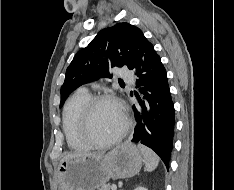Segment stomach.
<instances>
[{"label": "stomach", "mask_w": 234, "mask_h": 190, "mask_svg": "<svg viewBox=\"0 0 234 190\" xmlns=\"http://www.w3.org/2000/svg\"><path fill=\"white\" fill-rule=\"evenodd\" d=\"M143 161L139 148L130 142L106 154L64 159L58 166L59 190H98L110 179L136 175Z\"/></svg>", "instance_id": "1"}]
</instances>
